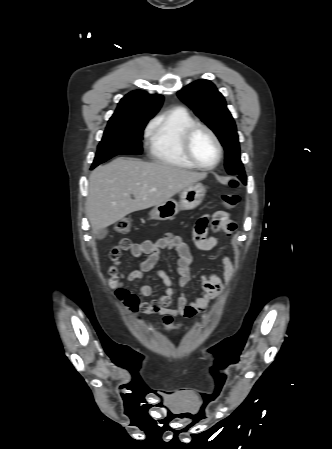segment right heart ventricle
<instances>
[{
	"mask_svg": "<svg viewBox=\"0 0 332 449\" xmlns=\"http://www.w3.org/2000/svg\"><path fill=\"white\" fill-rule=\"evenodd\" d=\"M194 123L193 116L182 107L171 109L158 116L149 129L150 155L164 164L194 168L183 154L181 147L184 131Z\"/></svg>",
	"mask_w": 332,
	"mask_h": 449,
	"instance_id": "1",
	"label": "right heart ventricle"
}]
</instances>
